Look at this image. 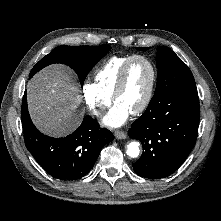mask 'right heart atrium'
<instances>
[{
  "label": "right heart atrium",
  "instance_id": "obj_1",
  "mask_svg": "<svg viewBox=\"0 0 221 221\" xmlns=\"http://www.w3.org/2000/svg\"><path fill=\"white\" fill-rule=\"evenodd\" d=\"M81 92L86 106L95 116H101L111 104V98L105 96L94 83H83Z\"/></svg>",
  "mask_w": 221,
  "mask_h": 221
}]
</instances>
